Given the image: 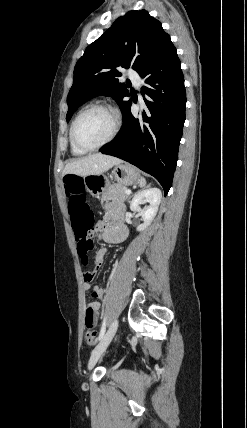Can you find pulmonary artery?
<instances>
[{"instance_id": "pulmonary-artery-1", "label": "pulmonary artery", "mask_w": 247, "mask_h": 428, "mask_svg": "<svg viewBox=\"0 0 247 428\" xmlns=\"http://www.w3.org/2000/svg\"><path fill=\"white\" fill-rule=\"evenodd\" d=\"M128 76L135 84H137V85L139 84V80H140L139 75L135 71L129 70Z\"/></svg>"}]
</instances>
